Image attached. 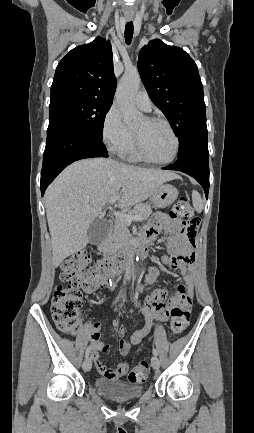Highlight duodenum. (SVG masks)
Here are the masks:
<instances>
[{
	"mask_svg": "<svg viewBox=\"0 0 254 433\" xmlns=\"http://www.w3.org/2000/svg\"><path fill=\"white\" fill-rule=\"evenodd\" d=\"M108 225H110V222H108ZM149 246L150 241L146 238H142L139 242H130L112 253L104 260V263L108 269H112L114 272H121L134 263L138 251H145Z\"/></svg>",
	"mask_w": 254,
	"mask_h": 433,
	"instance_id": "obj_1",
	"label": "duodenum"
}]
</instances>
